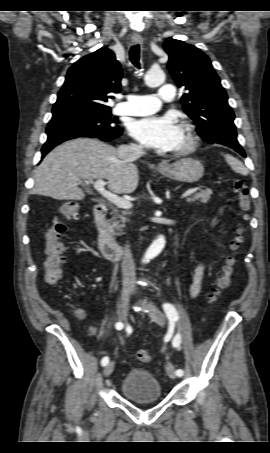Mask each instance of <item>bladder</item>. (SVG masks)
I'll return each instance as SVG.
<instances>
[{
  "label": "bladder",
  "mask_w": 270,
  "mask_h": 453,
  "mask_svg": "<svg viewBox=\"0 0 270 453\" xmlns=\"http://www.w3.org/2000/svg\"><path fill=\"white\" fill-rule=\"evenodd\" d=\"M120 391L134 403L158 402L163 398L160 381L151 372L136 368L123 377Z\"/></svg>",
  "instance_id": "obj_1"
}]
</instances>
